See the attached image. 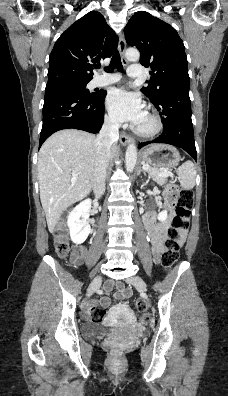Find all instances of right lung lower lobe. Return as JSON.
Instances as JSON below:
<instances>
[{
    "label": "right lung lower lobe",
    "mask_w": 228,
    "mask_h": 396,
    "mask_svg": "<svg viewBox=\"0 0 228 396\" xmlns=\"http://www.w3.org/2000/svg\"><path fill=\"white\" fill-rule=\"evenodd\" d=\"M105 96L106 91L88 98L68 88H46L39 147L51 134L62 129L98 133L104 119Z\"/></svg>",
    "instance_id": "1"
}]
</instances>
